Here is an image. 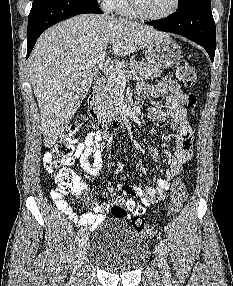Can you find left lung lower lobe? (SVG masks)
Here are the masks:
<instances>
[{"instance_id": "0a47b994", "label": "left lung lower lobe", "mask_w": 233, "mask_h": 286, "mask_svg": "<svg viewBox=\"0 0 233 286\" xmlns=\"http://www.w3.org/2000/svg\"><path fill=\"white\" fill-rule=\"evenodd\" d=\"M162 31L182 35L201 45L214 60L216 27L211 11V0H191L178 13L167 18L145 22Z\"/></svg>"}]
</instances>
